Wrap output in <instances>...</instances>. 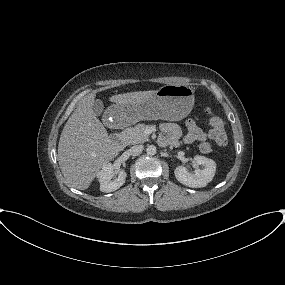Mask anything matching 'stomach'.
Masks as SVG:
<instances>
[{
  "mask_svg": "<svg viewBox=\"0 0 285 285\" xmlns=\"http://www.w3.org/2000/svg\"><path fill=\"white\" fill-rule=\"evenodd\" d=\"M194 105V90L187 85H164L156 92L133 104H114L108 113L119 124L129 125L142 120L177 121L186 117Z\"/></svg>",
  "mask_w": 285,
  "mask_h": 285,
  "instance_id": "1",
  "label": "stomach"
}]
</instances>
